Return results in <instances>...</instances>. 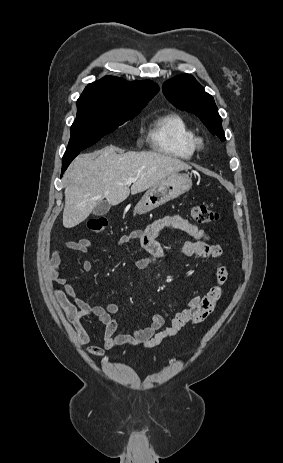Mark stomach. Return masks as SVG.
<instances>
[{
	"instance_id": "1",
	"label": "stomach",
	"mask_w": 283,
	"mask_h": 463,
	"mask_svg": "<svg viewBox=\"0 0 283 463\" xmlns=\"http://www.w3.org/2000/svg\"><path fill=\"white\" fill-rule=\"evenodd\" d=\"M188 175L174 174L149 188L134 208V214H145L190 190Z\"/></svg>"
}]
</instances>
